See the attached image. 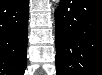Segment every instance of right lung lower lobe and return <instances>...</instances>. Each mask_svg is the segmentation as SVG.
I'll list each match as a JSON object with an SVG mask.
<instances>
[{
    "instance_id": "1",
    "label": "right lung lower lobe",
    "mask_w": 102,
    "mask_h": 75,
    "mask_svg": "<svg viewBox=\"0 0 102 75\" xmlns=\"http://www.w3.org/2000/svg\"><path fill=\"white\" fill-rule=\"evenodd\" d=\"M28 0H4L0 4V71L23 75L27 57Z\"/></svg>"
}]
</instances>
